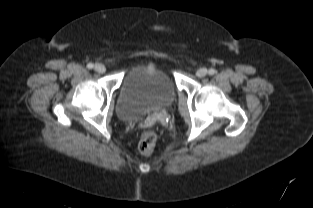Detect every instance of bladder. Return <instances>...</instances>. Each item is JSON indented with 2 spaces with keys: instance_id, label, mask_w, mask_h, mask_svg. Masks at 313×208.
<instances>
[{
  "instance_id": "1",
  "label": "bladder",
  "mask_w": 313,
  "mask_h": 208,
  "mask_svg": "<svg viewBox=\"0 0 313 208\" xmlns=\"http://www.w3.org/2000/svg\"><path fill=\"white\" fill-rule=\"evenodd\" d=\"M176 85L162 68L136 65L124 76L116 102V114L132 120L159 111L172 103Z\"/></svg>"
}]
</instances>
